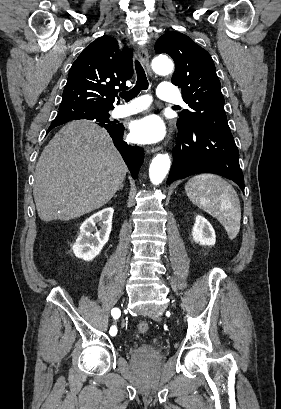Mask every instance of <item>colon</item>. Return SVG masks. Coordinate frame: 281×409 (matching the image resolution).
<instances>
[{
    "instance_id": "colon-1",
    "label": "colon",
    "mask_w": 281,
    "mask_h": 409,
    "mask_svg": "<svg viewBox=\"0 0 281 409\" xmlns=\"http://www.w3.org/2000/svg\"><path fill=\"white\" fill-rule=\"evenodd\" d=\"M150 329V325L146 321H141L137 324L136 330L140 334H146Z\"/></svg>"
}]
</instances>
